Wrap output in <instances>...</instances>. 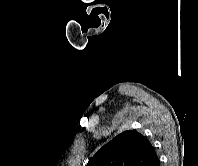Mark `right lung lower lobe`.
I'll return each mask as SVG.
<instances>
[{"mask_svg":"<svg viewBox=\"0 0 198 166\" xmlns=\"http://www.w3.org/2000/svg\"><path fill=\"white\" fill-rule=\"evenodd\" d=\"M150 166H160L159 158L153 160V162L150 164Z\"/></svg>","mask_w":198,"mask_h":166,"instance_id":"obj_1","label":"right lung lower lobe"}]
</instances>
